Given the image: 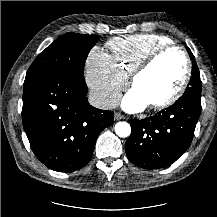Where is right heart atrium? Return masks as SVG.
Here are the masks:
<instances>
[{
  "instance_id": "d8ad5b80",
  "label": "right heart atrium",
  "mask_w": 217,
  "mask_h": 217,
  "mask_svg": "<svg viewBox=\"0 0 217 217\" xmlns=\"http://www.w3.org/2000/svg\"><path fill=\"white\" fill-rule=\"evenodd\" d=\"M86 82L96 103L109 108L117 102L127 78L113 66L108 53L94 47L86 61Z\"/></svg>"
}]
</instances>
